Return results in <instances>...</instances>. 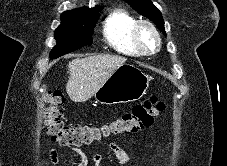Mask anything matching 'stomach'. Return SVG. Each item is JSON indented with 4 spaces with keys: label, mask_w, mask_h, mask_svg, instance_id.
Wrapping results in <instances>:
<instances>
[{
    "label": "stomach",
    "mask_w": 227,
    "mask_h": 166,
    "mask_svg": "<svg viewBox=\"0 0 227 166\" xmlns=\"http://www.w3.org/2000/svg\"><path fill=\"white\" fill-rule=\"evenodd\" d=\"M150 78L141 69L123 64L95 92L97 102L107 105L128 103L141 99L149 88Z\"/></svg>",
    "instance_id": "1"
}]
</instances>
